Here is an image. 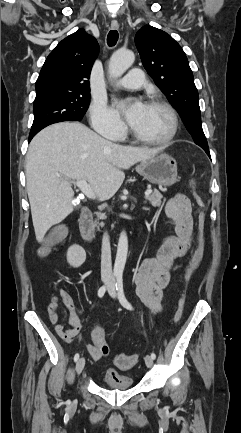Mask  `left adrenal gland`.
I'll return each mask as SVG.
<instances>
[{
  "mask_svg": "<svg viewBox=\"0 0 241 433\" xmlns=\"http://www.w3.org/2000/svg\"><path fill=\"white\" fill-rule=\"evenodd\" d=\"M143 209H144V210H146V211H148V210H149V208H146V207H143Z\"/></svg>",
  "mask_w": 241,
  "mask_h": 433,
  "instance_id": "left-adrenal-gland-1",
  "label": "left adrenal gland"
}]
</instances>
